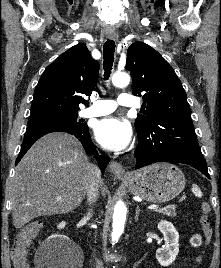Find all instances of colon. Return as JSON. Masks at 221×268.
I'll return each instance as SVG.
<instances>
[{"label":"colon","instance_id":"5ec220e1","mask_svg":"<svg viewBox=\"0 0 221 268\" xmlns=\"http://www.w3.org/2000/svg\"><path fill=\"white\" fill-rule=\"evenodd\" d=\"M210 213V205L208 203H203L201 205L200 225L207 243L210 241L213 235V229L209 217ZM41 227V223L32 222L24 226L20 231V234L12 251V258L16 268H30V265L27 261L28 246L30 241L38 235ZM201 258L202 256H199L196 259V264H199L201 262Z\"/></svg>","mask_w":221,"mask_h":268}]
</instances>
